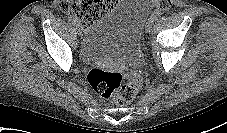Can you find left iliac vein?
Wrapping results in <instances>:
<instances>
[{
    "label": "left iliac vein",
    "instance_id": "obj_1",
    "mask_svg": "<svg viewBox=\"0 0 227 133\" xmlns=\"http://www.w3.org/2000/svg\"><path fill=\"white\" fill-rule=\"evenodd\" d=\"M152 25H153V20L150 18L145 25V31L147 33H149L151 31Z\"/></svg>",
    "mask_w": 227,
    "mask_h": 133
}]
</instances>
